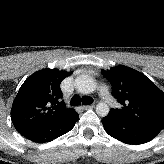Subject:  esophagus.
<instances>
[{
    "label": "esophagus",
    "instance_id": "esophagus-1",
    "mask_svg": "<svg viewBox=\"0 0 164 164\" xmlns=\"http://www.w3.org/2000/svg\"><path fill=\"white\" fill-rule=\"evenodd\" d=\"M95 103H92L90 105H85L83 106V109L87 110V109H92L94 107Z\"/></svg>",
    "mask_w": 164,
    "mask_h": 164
}]
</instances>
